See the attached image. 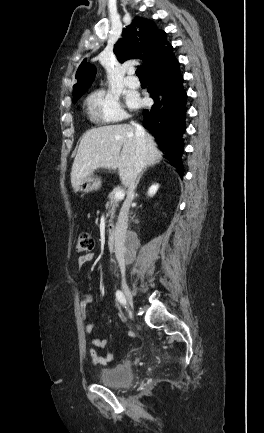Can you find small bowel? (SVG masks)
I'll return each mask as SVG.
<instances>
[{"mask_svg": "<svg viewBox=\"0 0 264 433\" xmlns=\"http://www.w3.org/2000/svg\"><path fill=\"white\" fill-rule=\"evenodd\" d=\"M94 259V255L92 253H88L82 255L77 260V265L79 268H82L88 262H91ZM79 312L80 316L83 320L87 317V308L90 303L93 301V295L88 293H81L79 296ZM95 324L87 323L85 325V331L87 333H92L94 331ZM128 337L132 336L131 332L127 333ZM91 348L89 349V354L91 356L92 361L97 365H106L114 359V355L109 353L106 356H101L98 353L99 349L104 348L107 345V340L103 338L94 337L91 339Z\"/></svg>", "mask_w": 264, "mask_h": 433, "instance_id": "obj_1", "label": "small bowel"}]
</instances>
